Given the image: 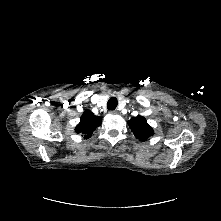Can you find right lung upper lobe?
Wrapping results in <instances>:
<instances>
[{"label": "right lung upper lobe", "instance_id": "right-lung-upper-lobe-1", "mask_svg": "<svg viewBox=\"0 0 221 221\" xmlns=\"http://www.w3.org/2000/svg\"><path fill=\"white\" fill-rule=\"evenodd\" d=\"M102 123L100 117L95 116L91 111L85 110L81 116L80 123L76 126L75 131L82 134L85 139L90 138L93 131Z\"/></svg>", "mask_w": 221, "mask_h": 221}]
</instances>
